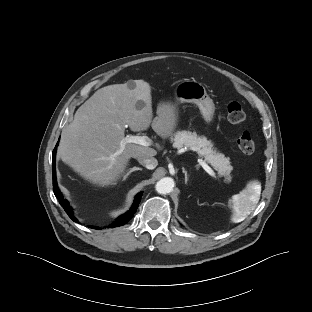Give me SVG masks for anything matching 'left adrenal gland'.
Returning a JSON list of instances; mask_svg holds the SVG:
<instances>
[{
    "label": "left adrenal gland",
    "mask_w": 312,
    "mask_h": 312,
    "mask_svg": "<svg viewBox=\"0 0 312 312\" xmlns=\"http://www.w3.org/2000/svg\"><path fill=\"white\" fill-rule=\"evenodd\" d=\"M183 173L185 174V183H187V181H188L187 171H185V169H183Z\"/></svg>",
    "instance_id": "1"
}]
</instances>
